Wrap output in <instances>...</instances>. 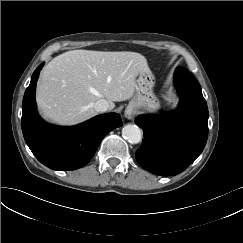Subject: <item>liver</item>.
Masks as SVG:
<instances>
[{"mask_svg": "<svg viewBox=\"0 0 243 243\" xmlns=\"http://www.w3.org/2000/svg\"><path fill=\"white\" fill-rule=\"evenodd\" d=\"M148 70L136 52L72 50L56 56L44 68L36 101L44 118L59 125H75L96 115L94 103L133 97L136 77Z\"/></svg>", "mask_w": 243, "mask_h": 243, "instance_id": "6515ba94", "label": "liver"}]
</instances>
